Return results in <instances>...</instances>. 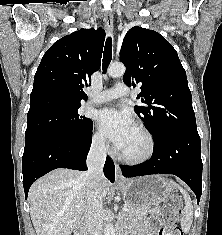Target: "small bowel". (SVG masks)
Instances as JSON below:
<instances>
[{"label":"small bowel","instance_id":"1","mask_svg":"<svg viewBox=\"0 0 222 235\" xmlns=\"http://www.w3.org/2000/svg\"><path fill=\"white\" fill-rule=\"evenodd\" d=\"M155 224H156V221L154 220L152 222V227L149 231H147L146 229H140L138 235H157L155 228H154Z\"/></svg>","mask_w":222,"mask_h":235}]
</instances>
